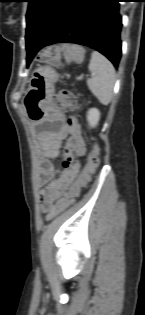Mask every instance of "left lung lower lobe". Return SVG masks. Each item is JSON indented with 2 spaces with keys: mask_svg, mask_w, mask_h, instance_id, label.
<instances>
[{
  "mask_svg": "<svg viewBox=\"0 0 145 315\" xmlns=\"http://www.w3.org/2000/svg\"><path fill=\"white\" fill-rule=\"evenodd\" d=\"M120 1L73 0L43 41L26 35L27 65L45 46L76 43L99 51L117 68L121 58Z\"/></svg>",
  "mask_w": 145,
  "mask_h": 315,
  "instance_id": "left-lung-lower-lobe-1",
  "label": "left lung lower lobe"
}]
</instances>
